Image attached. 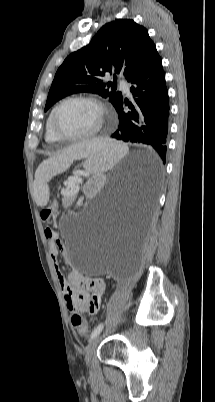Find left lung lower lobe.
<instances>
[{
    "mask_svg": "<svg viewBox=\"0 0 215 402\" xmlns=\"http://www.w3.org/2000/svg\"><path fill=\"white\" fill-rule=\"evenodd\" d=\"M128 81L132 84L130 90L135 97V106L122 99L115 108L119 125L112 137L151 146L165 164L170 107L160 56ZM125 105L131 111L125 112ZM160 172L161 164L157 161L154 170L145 171V178L153 185Z\"/></svg>",
    "mask_w": 215,
    "mask_h": 402,
    "instance_id": "obj_1",
    "label": "left lung lower lobe"
}]
</instances>
